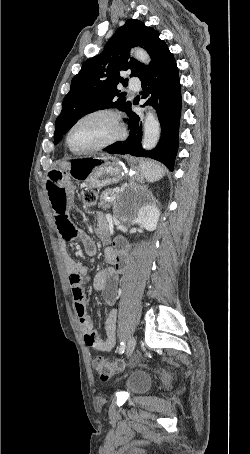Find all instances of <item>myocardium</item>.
<instances>
[{
  "mask_svg": "<svg viewBox=\"0 0 250 454\" xmlns=\"http://www.w3.org/2000/svg\"><path fill=\"white\" fill-rule=\"evenodd\" d=\"M101 115L107 116L112 120L114 128H115L114 135L112 137H110L109 139L105 140L104 142H101L95 146H92V147H89L86 149H80V150L74 149L70 143V137H71L73 130L83 121H85L89 118H92L95 116H101ZM125 134H126L125 128L122 124L120 115L115 110H112L109 108H98V109H94V110H91V111L83 114L70 126V128L66 134V145L69 148V150L75 154H90V153L101 151V150H104L106 148L113 146L114 144L121 141L125 137Z\"/></svg>",
  "mask_w": 250,
  "mask_h": 454,
  "instance_id": "f54148a6",
  "label": "myocardium"
}]
</instances>
